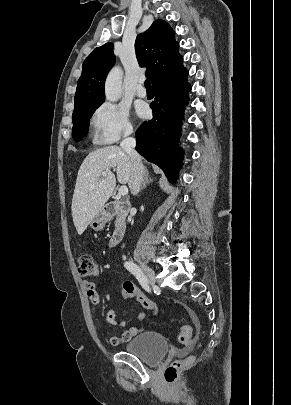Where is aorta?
Returning a JSON list of instances; mask_svg holds the SVG:
<instances>
[{
	"label": "aorta",
	"mask_w": 291,
	"mask_h": 405,
	"mask_svg": "<svg viewBox=\"0 0 291 405\" xmlns=\"http://www.w3.org/2000/svg\"><path fill=\"white\" fill-rule=\"evenodd\" d=\"M122 70L114 67L108 74L105 81V97L107 101L115 102L122 93Z\"/></svg>",
	"instance_id": "762f6f07"
}]
</instances>
